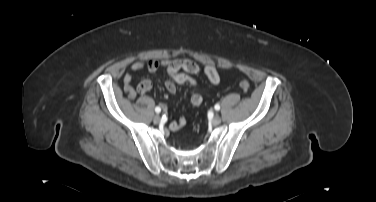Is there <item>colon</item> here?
<instances>
[{
	"label": "colon",
	"instance_id": "5ec220e1",
	"mask_svg": "<svg viewBox=\"0 0 376 202\" xmlns=\"http://www.w3.org/2000/svg\"><path fill=\"white\" fill-rule=\"evenodd\" d=\"M239 86L243 91H247L250 88V83L247 80H241Z\"/></svg>",
	"mask_w": 376,
	"mask_h": 202
}]
</instances>
